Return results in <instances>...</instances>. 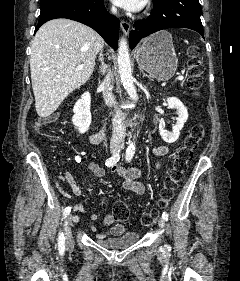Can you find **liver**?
I'll list each match as a JSON object with an SVG mask.
<instances>
[{
    "label": "liver",
    "instance_id": "liver-1",
    "mask_svg": "<svg viewBox=\"0 0 240 281\" xmlns=\"http://www.w3.org/2000/svg\"><path fill=\"white\" fill-rule=\"evenodd\" d=\"M104 40L90 27L69 19H53L40 27L30 56L35 108L41 118L91 77ZM82 70H77L78 66Z\"/></svg>",
    "mask_w": 240,
    "mask_h": 281
}]
</instances>
